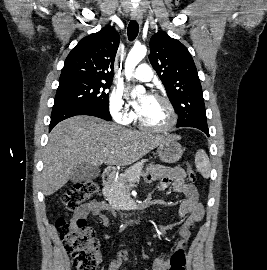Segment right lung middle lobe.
I'll return each mask as SVG.
<instances>
[{
    "instance_id": "obj_1",
    "label": "right lung middle lobe",
    "mask_w": 267,
    "mask_h": 270,
    "mask_svg": "<svg viewBox=\"0 0 267 270\" xmlns=\"http://www.w3.org/2000/svg\"><path fill=\"white\" fill-rule=\"evenodd\" d=\"M110 85L111 81L105 80L60 79L54 105L108 108V94L105 90Z\"/></svg>"
}]
</instances>
